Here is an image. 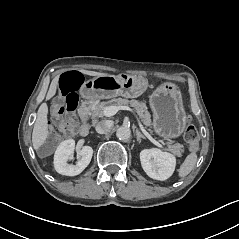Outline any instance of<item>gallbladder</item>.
<instances>
[{"label": "gallbladder", "mask_w": 239, "mask_h": 239, "mask_svg": "<svg viewBox=\"0 0 239 239\" xmlns=\"http://www.w3.org/2000/svg\"><path fill=\"white\" fill-rule=\"evenodd\" d=\"M45 149H46L45 147L40 148L38 154H40L41 151H45Z\"/></svg>", "instance_id": "obj_1"}]
</instances>
